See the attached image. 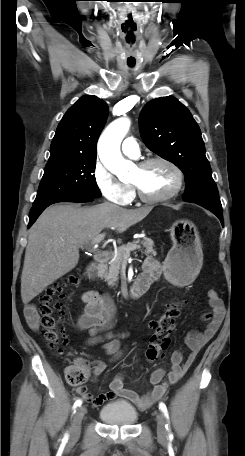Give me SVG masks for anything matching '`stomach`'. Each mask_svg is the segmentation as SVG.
<instances>
[{"label":"stomach","mask_w":245,"mask_h":456,"mask_svg":"<svg viewBox=\"0 0 245 456\" xmlns=\"http://www.w3.org/2000/svg\"><path fill=\"white\" fill-rule=\"evenodd\" d=\"M173 246L164 261V274L174 285H187L202 266L203 252L198 230L189 220H177L170 227Z\"/></svg>","instance_id":"1"}]
</instances>
